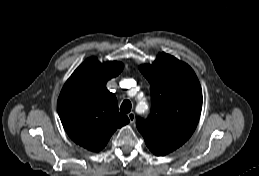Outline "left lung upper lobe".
Returning a JSON list of instances; mask_svg holds the SVG:
<instances>
[{
    "instance_id": "5c2ea615",
    "label": "left lung upper lobe",
    "mask_w": 259,
    "mask_h": 176,
    "mask_svg": "<svg viewBox=\"0 0 259 176\" xmlns=\"http://www.w3.org/2000/svg\"><path fill=\"white\" fill-rule=\"evenodd\" d=\"M140 71L151 85L152 109L148 120L138 118L136 125L147 147L164 156L194 132L202 109L201 86L187 64L166 53Z\"/></svg>"
}]
</instances>
